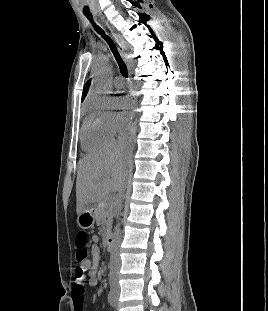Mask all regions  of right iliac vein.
<instances>
[{"label": "right iliac vein", "instance_id": "1", "mask_svg": "<svg viewBox=\"0 0 268 311\" xmlns=\"http://www.w3.org/2000/svg\"><path fill=\"white\" fill-rule=\"evenodd\" d=\"M114 294L116 295V294H118V292H117V291H114Z\"/></svg>", "mask_w": 268, "mask_h": 311}]
</instances>
